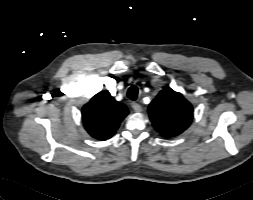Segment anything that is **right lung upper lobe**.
I'll return each mask as SVG.
<instances>
[{"label":"right lung upper lobe","instance_id":"cb5924a9","mask_svg":"<svg viewBox=\"0 0 253 200\" xmlns=\"http://www.w3.org/2000/svg\"><path fill=\"white\" fill-rule=\"evenodd\" d=\"M128 113L126 106L117 102L108 91H101L83 106L82 120L87 132L103 141L116 132Z\"/></svg>","mask_w":253,"mask_h":200}]
</instances>
